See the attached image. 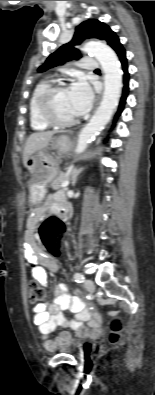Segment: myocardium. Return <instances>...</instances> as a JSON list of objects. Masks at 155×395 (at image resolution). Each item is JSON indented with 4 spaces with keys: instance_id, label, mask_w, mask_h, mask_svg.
I'll use <instances>...</instances> for the list:
<instances>
[{
    "instance_id": "obj_1",
    "label": "myocardium",
    "mask_w": 155,
    "mask_h": 395,
    "mask_svg": "<svg viewBox=\"0 0 155 395\" xmlns=\"http://www.w3.org/2000/svg\"><path fill=\"white\" fill-rule=\"evenodd\" d=\"M67 89L63 83L53 84L47 87L39 96L37 101V111L40 118L50 126L70 127L77 122L76 118L63 121L54 116L52 112V101L54 96Z\"/></svg>"
}]
</instances>
